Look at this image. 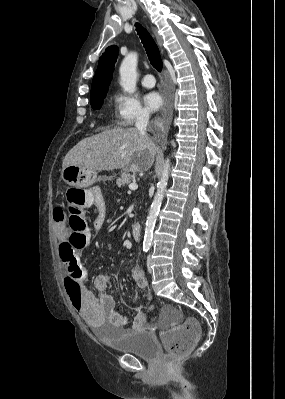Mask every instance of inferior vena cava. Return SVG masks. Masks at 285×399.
Listing matches in <instances>:
<instances>
[{
  "mask_svg": "<svg viewBox=\"0 0 285 399\" xmlns=\"http://www.w3.org/2000/svg\"><path fill=\"white\" fill-rule=\"evenodd\" d=\"M148 123H149V115H148L147 113H140V114L138 115V117H137L135 126H136L137 130H138L142 135H144V136L146 137L147 140H149L150 142H152V141L149 139V137H148V135H147V133H146V128H147Z\"/></svg>",
  "mask_w": 285,
  "mask_h": 399,
  "instance_id": "obj_1",
  "label": "inferior vena cava"
}]
</instances>
